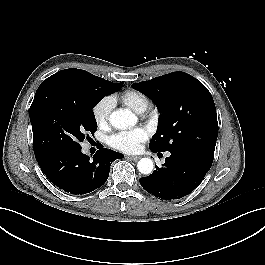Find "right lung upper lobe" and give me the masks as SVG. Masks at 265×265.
<instances>
[{
  "mask_svg": "<svg viewBox=\"0 0 265 265\" xmlns=\"http://www.w3.org/2000/svg\"><path fill=\"white\" fill-rule=\"evenodd\" d=\"M84 70L66 69L59 71L46 80L40 86L55 85L72 92H80L87 88L83 79Z\"/></svg>",
  "mask_w": 265,
  "mask_h": 265,
  "instance_id": "1",
  "label": "right lung upper lobe"
}]
</instances>
